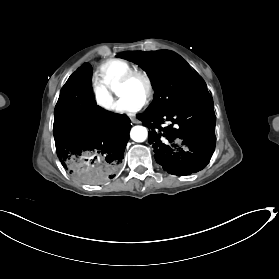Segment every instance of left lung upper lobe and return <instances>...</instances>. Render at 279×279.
<instances>
[{"mask_svg": "<svg viewBox=\"0 0 279 279\" xmlns=\"http://www.w3.org/2000/svg\"><path fill=\"white\" fill-rule=\"evenodd\" d=\"M117 56L138 64L149 75L155 93L152 104L145 112L147 114L169 111L208 91L190 66L172 52H127Z\"/></svg>", "mask_w": 279, "mask_h": 279, "instance_id": "5c2ea615", "label": "left lung upper lobe"}]
</instances>
